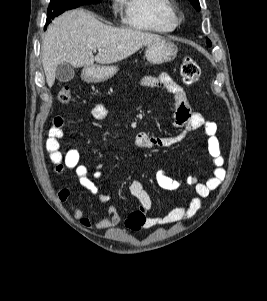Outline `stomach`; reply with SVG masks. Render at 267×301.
<instances>
[{
  "label": "stomach",
  "instance_id": "1",
  "mask_svg": "<svg viewBox=\"0 0 267 301\" xmlns=\"http://www.w3.org/2000/svg\"><path fill=\"white\" fill-rule=\"evenodd\" d=\"M178 48L170 40L161 38L146 45L145 57L149 63L161 64L173 61ZM118 72V67L112 65H93L85 69V78L91 82H103L112 78Z\"/></svg>",
  "mask_w": 267,
  "mask_h": 301
}]
</instances>
